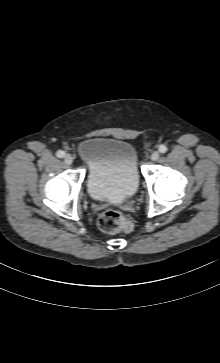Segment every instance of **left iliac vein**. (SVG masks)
<instances>
[{
  "instance_id": "obj_1",
  "label": "left iliac vein",
  "mask_w": 220,
  "mask_h": 363,
  "mask_svg": "<svg viewBox=\"0 0 220 363\" xmlns=\"http://www.w3.org/2000/svg\"><path fill=\"white\" fill-rule=\"evenodd\" d=\"M159 158V152L158 151H154L151 156H150V159L152 161H156L157 159Z\"/></svg>"
}]
</instances>
